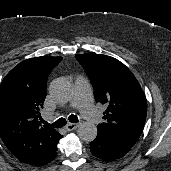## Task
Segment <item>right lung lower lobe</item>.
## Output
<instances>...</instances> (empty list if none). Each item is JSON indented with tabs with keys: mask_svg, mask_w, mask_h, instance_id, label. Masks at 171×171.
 Returning a JSON list of instances; mask_svg holds the SVG:
<instances>
[{
	"mask_svg": "<svg viewBox=\"0 0 171 171\" xmlns=\"http://www.w3.org/2000/svg\"><path fill=\"white\" fill-rule=\"evenodd\" d=\"M60 138H62V135H60L59 139ZM59 139H58V141H59ZM57 142L52 147V149L50 150V152L45 156V158H43L42 160H40L36 164H34L35 166H43V165H46L47 163H49L50 161H52L56 157V155H57V147H56L57 146Z\"/></svg>",
	"mask_w": 171,
	"mask_h": 171,
	"instance_id": "obj_1",
	"label": "right lung lower lobe"
}]
</instances>
